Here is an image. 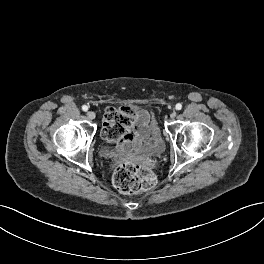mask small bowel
<instances>
[{
    "mask_svg": "<svg viewBox=\"0 0 264 264\" xmlns=\"http://www.w3.org/2000/svg\"><path fill=\"white\" fill-rule=\"evenodd\" d=\"M154 124V120L151 119L146 110L136 111L126 135L117 141V151L129 154L131 149H139L143 141L153 134ZM106 125L107 120L104 119L103 127Z\"/></svg>",
    "mask_w": 264,
    "mask_h": 264,
    "instance_id": "obj_1",
    "label": "small bowel"
}]
</instances>
